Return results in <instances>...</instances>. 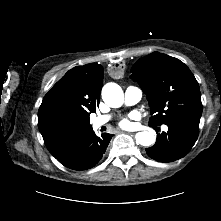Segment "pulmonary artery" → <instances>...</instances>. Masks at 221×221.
Masks as SVG:
<instances>
[{
	"instance_id": "1",
	"label": "pulmonary artery",
	"mask_w": 221,
	"mask_h": 221,
	"mask_svg": "<svg viewBox=\"0 0 221 221\" xmlns=\"http://www.w3.org/2000/svg\"><path fill=\"white\" fill-rule=\"evenodd\" d=\"M142 98V91L138 87L129 86L126 88L124 93L125 102L129 105L138 103ZM107 116H99L92 120V126L94 129H98L107 122ZM165 131L168 130L167 126H163Z\"/></svg>"
}]
</instances>
